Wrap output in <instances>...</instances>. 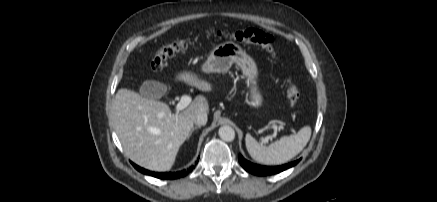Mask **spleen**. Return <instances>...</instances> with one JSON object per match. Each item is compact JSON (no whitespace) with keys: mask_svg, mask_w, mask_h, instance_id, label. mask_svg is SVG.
I'll return each mask as SVG.
<instances>
[{"mask_svg":"<svg viewBox=\"0 0 437 202\" xmlns=\"http://www.w3.org/2000/svg\"><path fill=\"white\" fill-rule=\"evenodd\" d=\"M311 137V128L305 126L297 134L283 136L279 141L264 146L250 134H246V148L250 156L257 162L268 165H279L288 162L298 155L307 145Z\"/></svg>","mask_w":437,"mask_h":202,"instance_id":"obj_1","label":"spleen"}]
</instances>
